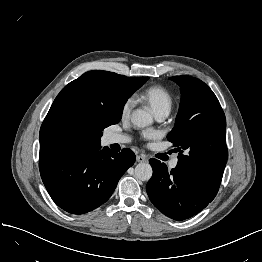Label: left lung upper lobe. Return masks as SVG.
<instances>
[{"label": "left lung upper lobe", "instance_id": "5c2ea615", "mask_svg": "<svg viewBox=\"0 0 262 262\" xmlns=\"http://www.w3.org/2000/svg\"><path fill=\"white\" fill-rule=\"evenodd\" d=\"M170 79L180 86L182 94L175 127L167 135L180 152L176 168L213 200L228 157L224 112L213 91L201 80L187 75Z\"/></svg>", "mask_w": 262, "mask_h": 262}]
</instances>
